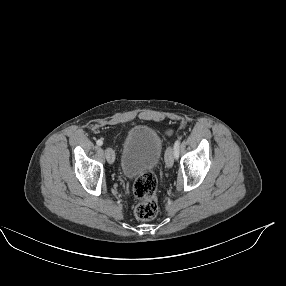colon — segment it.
<instances>
[{
  "label": "colon",
  "instance_id": "5ec220e1",
  "mask_svg": "<svg viewBox=\"0 0 286 286\" xmlns=\"http://www.w3.org/2000/svg\"><path fill=\"white\" fill-rule=\"evenodd\" d=\"M157 178L149 172L136 179L133 192L139 202L135 206V216L140 220H151L158 213L156 199Z\"/></svg>",
  "mask_w": 286,
  "mask_h": 286
}]
</instances>
